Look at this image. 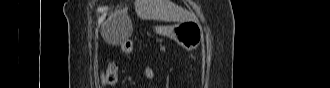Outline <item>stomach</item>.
I'll list each match as a JSON object with an SVG mask.
<instances>
[{"label":"stomach","instance_id":"1","mask_svg":"<svg viewBox=\"0 0 330 88\" xmlns=\"http://www.w3.org/2000/svg\"><path fill=\"white\" fill-rule=\"evenodd\" d=\"M166 34L186 50L197 48L203 39L202 27L195 21H183L167 27Z\"/></svg>","mask_w":330,"mask_h":88}]
</instances>
